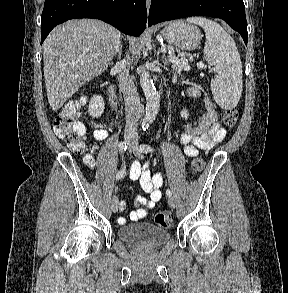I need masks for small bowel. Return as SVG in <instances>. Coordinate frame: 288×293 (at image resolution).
<instances>
[{
  "label": "small bowel",
  "instance_id": "obj_1",
  "mask_svg": "<svg viewBox=\"0 0 288 293\" xmlns=\"http://www.w3.org/2000/svg\"><path fill=\"white\" fill-rule=\"evenodd\" d=\"M186 96L195 98L200 96L197 86L189 87L186 90ZM205 110L198 118L195 126L186 125L184 132L180 135L179 141L185 145L184 152L188 157H195L199 150L209 151L226 136V130L217 122V114L208 98L204 99ZM108 136V128L97 129L94 137L97 140H104ZM130 178L138 181L143 192L149 195V198L137 196L135 205L138 207L130 213L132 221H138L148 215V211L156 205L162 198L161 187L163 185V176L161 173L151 174L147 165H141L138 161H134L130 169ZM126 203L121 202V208ZM120 224L125 223L124 218L118 219Z\"/></svg>",
  "mask_w": 288,
  "mask_h": 293
}]
</instances>
